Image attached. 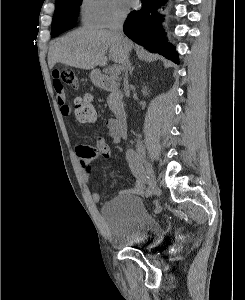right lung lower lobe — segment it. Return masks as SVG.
Here are the masks:
<instances>
[{
    "label": "right lung lower lobe",
    "mask_w": 245,
    "mask_h": 300,
    "mask_svg": "<svg viewBox=\"0 0 245 300\" xmlns=\"http://www.w3.org/2000/svg\"><path fill=\"white\" fill-rule=\"evenodd\" d=\"M163 3L164 0H142V8L128 15L123 30L131 40L145 49L164 55L179 64L174 46L166 42L165 32L161 27L163 18L157 13V8ZM74 26L75 22L64 24L60 32L63 33Z\"/></svg>",
    "instance_id": "obj_1"
}]
</instances>
